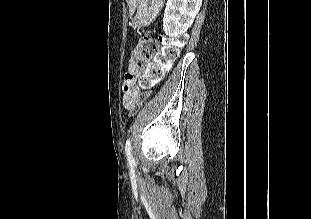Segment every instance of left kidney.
<instances>
[{
	"label": "left kidney",
	"mask_w": 311,
	"mask_h": 219,
	"mask_svg": "<svg viewBox=\"0 0 311 219\" xmlns=\"http://www.w3.org/2000/svg\"><path fill=\"white\" fill-rule=\"evenodd\" d=\"M202 0H167L163 29L167 36L185 33L200 10Z\"/></svg>",
	"instance_id": "1"
}]
</instances>
